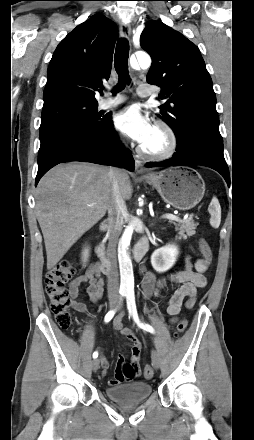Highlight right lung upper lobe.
Masks as SVG:
<instances>
[{"instance_id": "right-lung-upper-lobe-1", "label": "right lung upper lobe", "mask_w": 254, "mask_h": 440, "mask_svg": "<svg viewBox=\"0 0 254 440\" xmlns=\"http://www.w3.org/2000/svg\"><path fill=\"white\" fill-rule=\"evenodd\" d=\"M116 38V24L100 14L70 32L50 61L44 103L60 96L97 101L95 90L110 76Z\"/></svg>"}]
</instances>
